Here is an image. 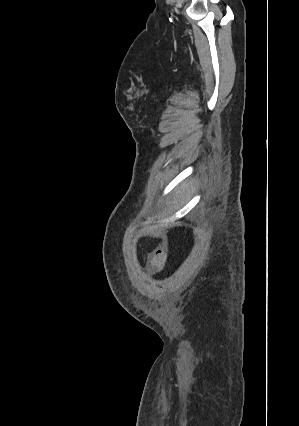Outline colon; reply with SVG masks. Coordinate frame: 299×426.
Wrapping results in <instances>:
<instances>
[{
	"instance_id": "1",
	"label": "colon",
	"mask_w": 299,
	"mask_h": 426,
	"mask_svg": "<svg viewBox=\"0 0 299 426\" xmlns=\"http://www.w3.org/2000/svg\"><path fill=\"white\" fill-rule=\"evenodd\" d=\"M165 248L164 247H158L155 249L152 253L151 262L154 267H156L158 270H161L165 263Z\"/></svg>"
}]
</instances>
